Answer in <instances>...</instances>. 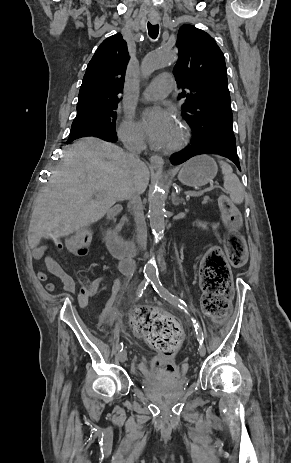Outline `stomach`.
Masks as SVG:
<instances>
[{
    "label": "stomach",
    "instance_id": "obj_1",
    "mask_svg": "<svg viewBox=\"0 0 291 463\" xmlns=\"http://www.w3.org/2000/svg\"><path fill=\"white\" fill-rule=\"evenodd\" d=\"M218 171L215 161L205 155L187 161L178 173L179 181L187 186H204L211 182Z\"/></svg>",
    "mask_w": 291,
    "mask_h": 463
}]
</instances>
